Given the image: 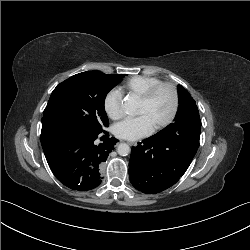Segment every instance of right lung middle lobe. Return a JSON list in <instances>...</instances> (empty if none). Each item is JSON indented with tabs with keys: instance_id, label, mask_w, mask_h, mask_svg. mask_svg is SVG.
I'll return each instance as SVG.
<instances>
[{
	"instance_id": "obj_1",
	"label": "right lung middle lobe",
	"mask_w": 250,
	"mask_h": 250,
	"mask_svg": "<svg viewBox=\"0 0 250 250\" xmlns=\"http://www.w3.org/2000/svg\"><path fill=\"white\" fill-rule=\"evenodd\" d=\"M124 76L87 71L57 85L43 112L42 131L72 127L101 133L109 126L104 108L106 95Z\"/></svg>"
}]
</instances>
